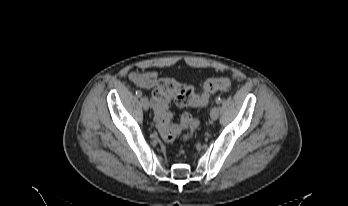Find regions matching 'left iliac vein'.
Returning a JSON list of instances; mask_svg holds the SVG:
<instances>
[{
	"label": "left iliac vein",
	"mask_w": 348,
	"mask_h": 206,
	"mask_svg": "<svg viewBox=\"0 0 348 206\" xmlns=\"http://www.w3.org/2000/svg\"><path fill=\"white\" fill-rule=\"evenodd\" d=\"M210 117L212 120H217L219 117V108L217 106H213L210 111Z\"/></svg>",
	"instance_id": "left-iliac-vein-1"
}]
</instances>
